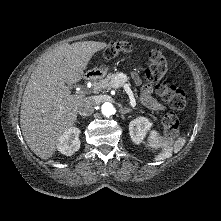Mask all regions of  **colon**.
<instances>
[{
  "label": "colon",
  "instance_id": "colon-1",
  "mask_svg": "<svg viewBox=\"0 0 221 221\" xmlns=\"http://www.w3.org/2000/svg\"><path fill=\"white\" fill-rule=\"evenodd\" d=\"M132 50L133 46L128 41L112 42L105 48L104 57L113 59L121 53H130ZM148 58L150 64L145 70L146 79L156 84V92L167 102L170 108L174 110L183 109L186 105L184 91L162 80L167 70V60L163 53L158 49H152L148 53ZM162 126L165 135L169 137L178 135L179 120L174 113H167L163 116Z\"/></svg>",
  "mask_w": 221,
  "mask_h": 221
}]
</instances>
